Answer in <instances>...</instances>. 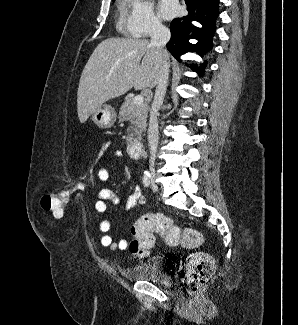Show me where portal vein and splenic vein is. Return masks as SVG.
<instances>
[{"mask_svg": "<svg viewBox=\"0 0 298 325\" xmlns=\"http://www.w3.org/2000/svg\"><path fill=\"white\" fill-rule=\"evenodd\" d=\"M144 102V96L143 94H136V96H134L133 98V104H143Z\"/></svg>", "mask_w": 298, "mask_h": 325, "instance_id": "obj_1", "label": "portal vein and splenic vein"}]
</instances>
